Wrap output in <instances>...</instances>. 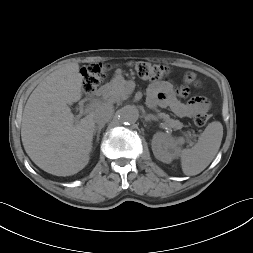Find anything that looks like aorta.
<instances>
[{"label":"aorta","mask_w":253,"mask_h":253,"mask_svg":"<svg viewBox=\"0 0 253 253\" xmlns=\"http://www.w3.org/2000/svg\"><path fill=\"white\" fill-rule=\"evenodd\" d=\"M118 117L122 123L134 124L139 118V111L133 105H126L119 110Z\"/></svg>","instance_id":"1"}]
</instances>
